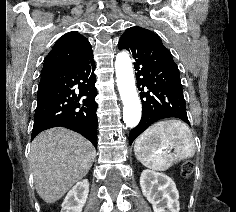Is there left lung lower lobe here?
Returning a JSON list of instances; mask_svg holds the SVG:
<instances>
[{"label":"left lung lower lobe","mask_w":236,"mask_h":212,"mask_svg":"<svg viewBox=\"0 0 236 212\" xmlns=\"http://www.w3.org/2000/svg\"><path fill=\"white\" fill-rule=\"evenodd\" d=\"M118 46L131 52L141 91L142 117L129 134L130 145L158 120L174 117L190 125L178 67L161 39L147 29L131 27L121 36Z\"/></svg>","instance_id":"1"}]
</instances>
